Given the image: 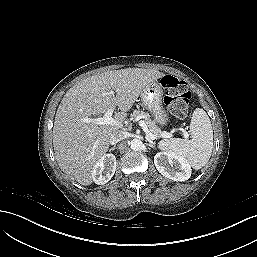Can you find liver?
Segmentation results:
<instances>
[{"label":"liver","mask_w":257,"mask_h":257,"mask_svg":"<svg viewBox=\"0 0 257 257\" xmlns=\"http://www.w3.org/2000/svg\"><path fill=\"white\" fill-rule=\"evenodd\" d=\"M154 69L126 68L107 71L82 80L64 95L56 112L53 147L61 170L81 185L93 181L95 163L106 154L112 134L120 131L127 112L151 82L162 78ZM114 90L115 95L108 94ZM118 107L115 124L98 125L92 120Z\"/></svg>","instance_id":"liver-1"}]
</instances>
